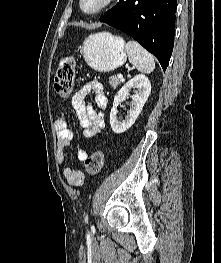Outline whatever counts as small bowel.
<instances>
[{
	"label": "small bowel",
	"instance_id": "1",
	"mask_svg": "<svg viewBox=\"0 0 221 263\" xmlns=\"http://www.w3.org/2000/svg\"><path fill=\"white\" fill-rule=\"evenodd\" d=\"M90 93L94 94L95 104L103 109L107 105V98L104 94V87L100 81L92 80L83 85L73 97L72 105L84 128L87 137L100 135L104 129V114L95 110L91 105L86 104L85 98ZM57 132V153L56 158L59 166H62L65 158L64 149L70 146L75 139L73 130L69 127L65 119H57L54 123ZM88 157L85 149L78 150V159L83 161ZM63 175L67 182L74 186L82 185L84 174L79 169L70 166L63 168Z\"/></svg>",
	"mask_w": 221,
	"mask_h": 263
}]
</instances>
